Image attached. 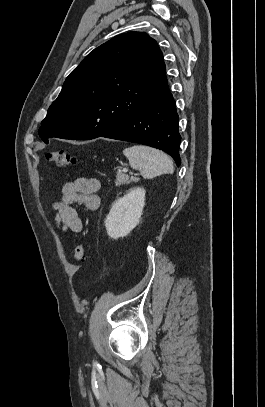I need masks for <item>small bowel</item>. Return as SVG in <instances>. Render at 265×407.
Listing matches in <instances>:
<instances>
[{
	"instance_id": "1",
	"label": "small bowel",
	"mask_w": 265,
	"mask_h": 407,
	"mask_svg": "<svg viewBox=\"0 0 265 407\" xmlns=\"http://www.w3.org/2000/svg\"><path fill=\"white\" fill-rule=\"evenodd\" d=\"M99 190L100 182L96 178L80 177L65 183L60 200L54 204L56 228L64 233H81L83 222L76 207H83L87 211L96 210L99 207Z\"/></svg>"
}]
</instances>
